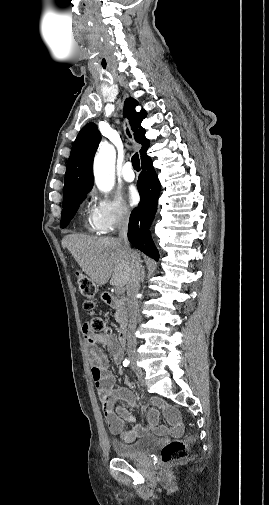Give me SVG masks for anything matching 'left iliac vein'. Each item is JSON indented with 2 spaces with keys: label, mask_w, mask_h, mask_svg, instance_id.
I'll use <instances>...</instances> for the list:
<instances>
[{
  "label": "left iliac vein",
  "mask_w": 269,
  "mask_h": 505,
  "mask_svg": "<svg viewBox=\"0 0 269 505\" xmlns=\"http://www.w3.org/2000/svg\"><path fill=\"white\" fill-rule=\"evenodd\" d=\"M137 368L136 364L135 363H132V369L135 371Z\"/></svg>",
  "instance_id": "1"
}]
</instances>
